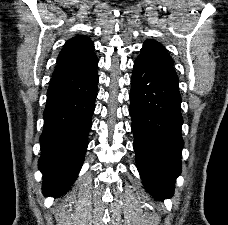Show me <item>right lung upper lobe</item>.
<instances>
[{
    "label": "right lung upper lobe",
    "mask_w": 228,
    "mask_h": 225,
    "mask_svg": "<svg viewBox=\"0 0 228 225\" xmlns=\"http://www.w3.org/2000/svg\"><path fill=\"white\" fill-rule=\"evenodd\" d=\"M94 44L87 36H75L69 39L57 58V66L79 62L93 55Z\"/></svg>",
    "instance_id": "right-lung-upper-lobe-1"
}]
</instances>
